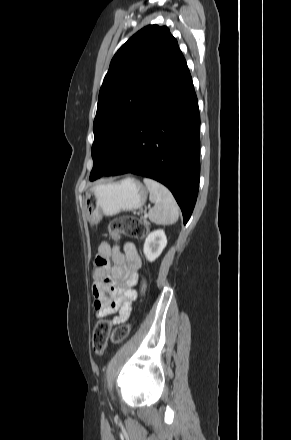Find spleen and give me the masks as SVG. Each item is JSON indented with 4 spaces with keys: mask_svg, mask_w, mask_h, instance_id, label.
Returning <instances> with one entry per match:
<instances>
[{
    "mask_svg": "<svg viewBox=\"0 0 291 440\" xmlns=\"http://www.w3.org/2000/svg\"><path fill=\"white\" fill-rule=\"evenodd\" d=\"M143 182L150 192V201L154 203L148 213L149 219L156 224L175 223L179 217V207L169 189L150 178H144Z\"/></svg>",
    "mask_w": 291,
    "mask_h": 440,
    "instance_id": "obj_1",
    "label": "spleen"
}]
</instances>
